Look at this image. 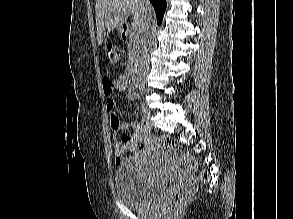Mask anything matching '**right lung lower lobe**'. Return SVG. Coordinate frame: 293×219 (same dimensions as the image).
Returning <instances> with one entry per match:
<instances>
[{"label": "right lung lower lobe", "instance_id": "1", "mask_svg": "<svg viewBox=\"0 0 293 219\" xmlns=\"http://www.w3.org/2000/svg\"><path fill=\"white\" fill-rule=\"evenodd\" d=\"M150 2L152 3L154 7L156 17H157V23L161 24L163 20L164 12L166 10V0H150Z\"/></svg>", "mask_w": 293, "mask_h": 219}]
</instances>
